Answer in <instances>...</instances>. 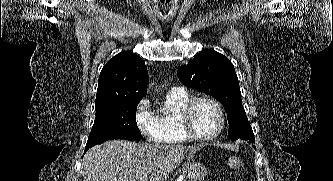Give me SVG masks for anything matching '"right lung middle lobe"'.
<instances>
[{"label":"right lung middle lobe","instance_id":"obj_1","mask_svg":"<svg viewBox=\"0 0 333 181\" xmlns=\"http://www.w3.org/2000/svg\"><path fill=\"white\" fill-rule=\"evenodd\" d=\"M139 102L140 100H135L96 109V118L86 147L90 148L110 139H141L136 123Z\"/></svg>","mask_w":333,"mask_h":181}]
</instances>
